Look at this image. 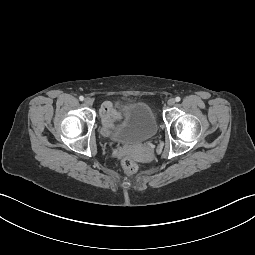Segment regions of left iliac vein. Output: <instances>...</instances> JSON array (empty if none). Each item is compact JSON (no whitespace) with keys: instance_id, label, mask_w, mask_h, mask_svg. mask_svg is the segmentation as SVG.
<instances>
[{"instance_id":"left-iliac-vein-1","label":"left iliac vein","mask_w":255,"mask_h":255,"mask_svg":"<svg viewBox=\"0 0 255 255\" xmlns=\"http://www.w3.org/2000/svg\"><path fill=\"white\" fill-rule=\"evenodd\" d=\"M167 103H168L169 106H173L175 104V99L170 98Z\"/></svg>"}]
</instances>
